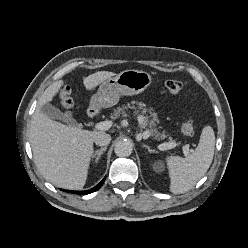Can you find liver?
Returning a JSON list of instances; mask_svg holds the SVG:
<instances>
[{"label":"liver","mask_w":248,"mask_h":248,"mask_svg":"<svg viewBox=\"0 0 248 248\" xmlns=\"http://www.w3.org/2000/svg\"><path fill=\"white\" fill-rule=\"evenodd\" d=\"M115 75L99 71L84 78L83 83L87 90H93ZM63 84V80L52 83L39 98L31 120L29 139L34 162L41 175L57 187L79 190L85 185L94 138L100 132L64 125L41 111Z\"/></svg>","instance_id":"6515ba94"}]
</instances>
